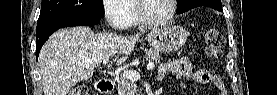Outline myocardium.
Listing matches in <instances>:
<instances>
[{
  "label": "myocardium",
  "instance_id": "1",
  "mask_svg": "<svg viewBox=\"0 0 277 95\" xmlns=\"http://www.w3.org/2000/svg\"><path fill=\"white\" fill-rule=\"evenodd\" d=\"M145 0H135L134 8H135V14L142 24L146 26H162L168 24L174 17L177 4L176 0H168L170 4V13L169 15L164 19H149L142 13V5Z\"/></svg>",
  "mask_w": 277,
  "mask_h": 95
}]
</instances>
